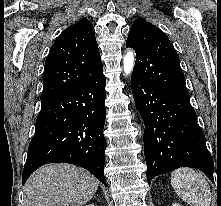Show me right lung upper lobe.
<instances>
[{
	"mask_svg": "<svg viewBox=\"0 0 221 206\" xmlns=\"http://www.w3.org/2000/svg\"><path fill=\"white\" fill-rule=\"evenodd\" d=\"M103 71L95 30L79 20L64 30L45 62L41 101L75 88Z\"/></svg>",
	"mask_w": 221,
	"mask_h": 206,
	"instance_id": "cb5924a9",
	"label": "right lung upper lobe"
}]
</instances>
